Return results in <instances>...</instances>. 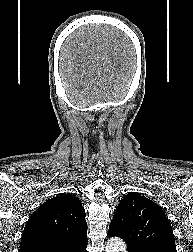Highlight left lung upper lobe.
Masks as SVG:
<instances>
[{"instance_id": "obj_1", "label": "left lung upper lobe", "mask_w": 193, "mask_h": 252, "mask_svg": "<svg viewBox=\"0 0 193 252\" xmlns=\"http://www.w3.org/2000/svg\"><path fill=\"white\" fill-rule=\"evenodd\" d=\"M128 245V252H176L172 226L164 211L137 193L126 195L117 206L108 230Z\"/></svg>"}]
</instances>
